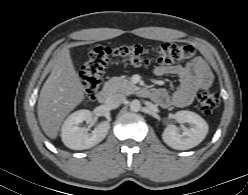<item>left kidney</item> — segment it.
Instances as JSON below:
<instances>
[{"instance_id":"obj_1","label":"left kidney","mask_w":248,"mask_h":195,"mask_svg":"<svg viewBox=\"0 0 248 195\" xmlns=\"http://www.w3.org/2000/svg\"><path fill=\"white\" fill-rule=\"evenodd\" d=\"M179 123H189L190 128H183L180 133L174 125H168L163 134V141L171 148L177 150H187L200 144L208 133V124L198 114L191 111H178L174 115Z\"/></svg>"}]
</instances>
